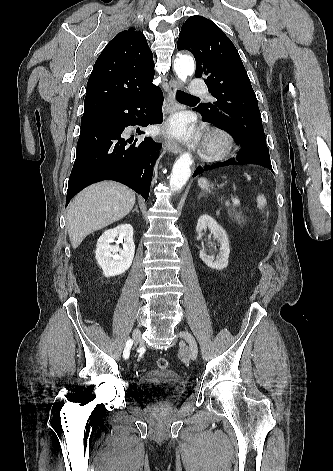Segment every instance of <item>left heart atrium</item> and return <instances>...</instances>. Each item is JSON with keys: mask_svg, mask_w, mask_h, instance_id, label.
Returning a JSON list of instances; mask_svg holds the SVG:
<instances>
[{"mask_svg": "<svg viewBox=\"0 0 333 471\" xmlns=\"http://www.w3.org/2000/svg\"><path fill=\"white\" fill-rule=\"evenodd\" d=\"M169 130L174 135L183 139H190L192 137V132L188 127L187 121L181 116L176 117L171 121Z\"/></svg>", "mask_w": 333, "mask_h": 471, "instance_id": "obj_1", "label": "left heart atrium"}]
</instances>
